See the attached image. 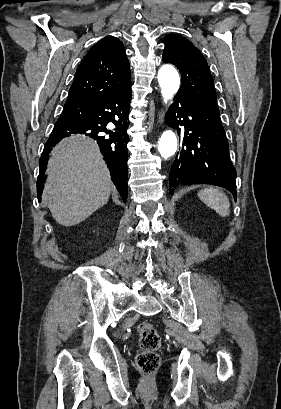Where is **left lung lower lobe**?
I'll return each mask as SVG.
<instances>
[{
    "label": "left lung lower lobe",
    "mask_w": 281,
    "mask_h": 409,
    "mask_svg": "<svg viewBox=\"0 0 281 409\" xmlns=\"http://www.w3.org/2000/svg\"><path fill=\"white\" fill-rule=\"evenodd\" d=\"M169 126L180 135L183 146L171 166L170 194L180 184L205 183L222 186L236 200V170L228 154V141L220 114L201 106L189 97L177 94L166 114Z\"/></svg>",
    "instance_id": "0a47b994"
}]
</instances>
